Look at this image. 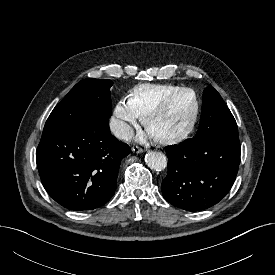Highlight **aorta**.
Here are the masks:
<instances>
[{
    "label": "aorta",
    "mask_w": 275,
    "mask_h": 275,
    "mask_svg": "<svg viewBox=\"0 0 275 275\" xmlns=\"http://www.w3.org/2000/svg\"><path fill=\"white\" fill-rule=\"evenodd\" d=\"M147 166L155 171H161L167 166V157L158 151H149L145 155Z\"/></svg>",
    "instance_id": "1"
}]
</instances>
